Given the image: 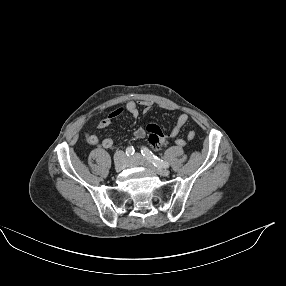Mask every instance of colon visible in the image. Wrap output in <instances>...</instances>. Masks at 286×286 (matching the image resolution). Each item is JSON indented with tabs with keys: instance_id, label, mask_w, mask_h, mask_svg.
<instances>
[{
	"instance_id": "obj_1",
	"label": "colon",
	"mask_w": 286,
	"mask_h": 286,
	"mask_svg": "<svg viewBox=\"0 0 286 286\" xmlns=\"http://www.w3.org/2000/svg\"><path fill=\"white\" fill-rule=\"evenodd\" d=\"M148 140L152 145H160L164 140V133L162 129L155 123L147 125Z\"/></svg>"
}]
</instances>
